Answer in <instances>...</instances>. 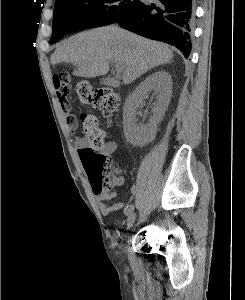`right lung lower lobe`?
<instances>
[{
	"instance_id": "right-lung-lower-lobe-1",
	"label": "right lung lower lobe",
	"mask_w": 245,
	"mask_h": 300,
	"mask_svg": "<svg viewBox=\"0 0 245 300\" xmlns=\"http://www.w3.org/2000/svg\"><path fill=\"white\" fill-rule=\"evenodd\" d=\"M194 0H156L141 3L116 21L121 27L141 36L177 47L187 58L191 53ZM56 28L62 37L79 31L77 25L59 20Z\"/></svg>"
}]
</instances>
